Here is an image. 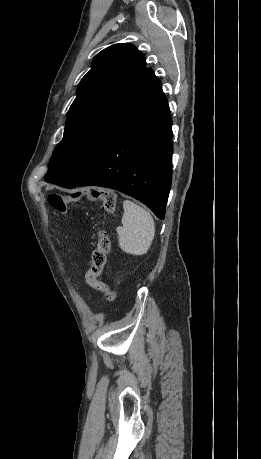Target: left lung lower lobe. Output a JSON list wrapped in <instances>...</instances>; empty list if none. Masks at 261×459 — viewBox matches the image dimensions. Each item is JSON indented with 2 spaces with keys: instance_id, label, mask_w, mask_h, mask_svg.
Wrapping results in <instances>:
<instances>
[{
  "instance_id": "0a47b994",
  "label": "left lung lower lobe",
  "mask_w": 261,
  "mask_h": 459,
  "mask_svg": "<svg viewBox=\"0 0 261 459\" xmlns=\"http://www.w3.org/2000/svg\"><path fill=\"white\" fill-rule=\"evenodd\" d=\"M171 126L160 84L93 159L58 185L115 189L164 219L172 181Z\"/></svg>"
}]
</instances>
